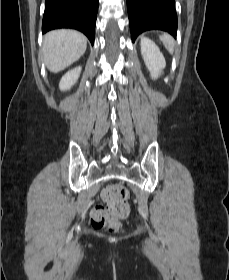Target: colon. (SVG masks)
Returning a JSON list of instances; mask_svg holds the SVG:
<instances>
[{
	"instance_id": "1",
	"label": "colon",
	"mask_w": 229,
	"mask_h": 280,
	"mask_svg": "<svg viewBox=\"0 0 229 280\" xmlns=\"http://www.w3.org/2000/svg\"><path fill=\"white\" fill-rule=\"evenodd\" d=\"M128 190L119 183L105 187L102 191V198L108 206H95L91 213L92 225L95 228H109L119 230L121 221L129 213Z\"/></svg>"
}]
</instances>
